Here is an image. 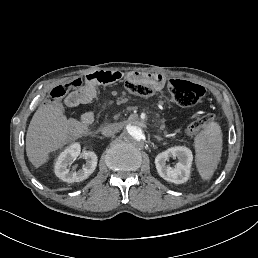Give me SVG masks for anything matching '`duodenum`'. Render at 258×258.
Segmentation results:
<instances>
[{"mask_svg": "<svg viewBox=\"0 0 258 258\" xmlns=\"http://www.w3.org/2000/svg\"><path fill=\"white\" fill-rule=\"evenodd\" d=\"M123 78V73L120 71H97L87 75L86 82L91 87L98 85L110 86Z\"/></svg>", "mask_w": 258, "mask_h": 258, "instance_id": "duodenum-1", "label": "duodenum"}]
</instances>
